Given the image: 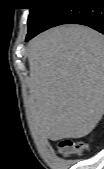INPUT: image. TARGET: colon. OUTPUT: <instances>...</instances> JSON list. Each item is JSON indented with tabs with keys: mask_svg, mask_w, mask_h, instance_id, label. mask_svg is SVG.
Returning <instances> with one entry per match:
<instances>
[{
	"mask_svg": "<svg viewBox=\"0 0 104 169\" xmlns=\"http://www.w3.org/2000/svg\"><path fill=\"white\" fill-rule=\"evenodd\" d=\"M87 149V144L80 141L63 139L58 143V150L64 156L81 155Z\"/></svg>",
	"mask_w": 104,
	"mask_h": 169,
	"instance_id": "colon-1",
	"label": "colon"
}]
</instances>
